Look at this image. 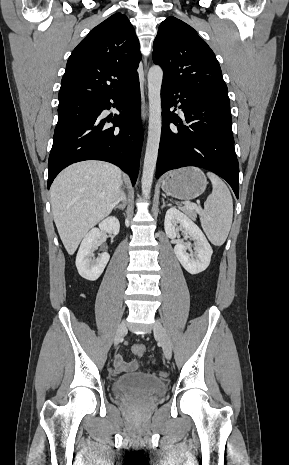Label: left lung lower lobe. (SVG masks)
Instances as JSON below:
<instances>
[{
  "label": "left lung lower lobe",
  "mask_w": 289,
  "mask_h": 465,
  "mask_svg": "<svg viewBox=\"0 0 289 465\" xmlns=\"http://www.w3.org/2000/svg\"><path fill=\"white\" fill-rule=\"evenodd\" d=\"M179 98V101L176 99ZM162 133L156 178L185 166L205 168L225 179L239 196V165L234 150L229 103L162 83ZM182 109L189 126L170 112ZM175 126H170V123Z\"/></svg>",
  "instance_id": "obj_1"
}]
</instances>
